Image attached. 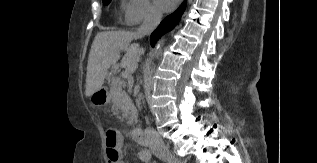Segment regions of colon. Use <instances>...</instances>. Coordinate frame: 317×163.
Listing matches in <instances>:
<instances>
[{
  "instance_id": "obj_1",
  "label": "colon",
  "mask_w": 317,
  "mask_h": 163,
  "mask_svg": "<svg viewBox=\"0 0 317 163\" xmlns=\"http://www.w3.org/2000/svg\"><path fill=\"white\" fill-rule=\"evenodd\" d=\"M120 137L114 128H108L106 130V154L109 159V163H116L120 157L118 149Z\"/></svg>"
}]
</instances>
